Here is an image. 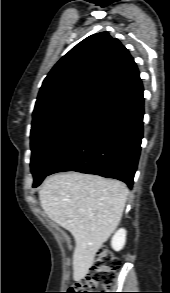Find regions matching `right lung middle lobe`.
Segmentation results:
<instances>
[{"mask_svg":"<svg viewBox=\"0 0 170 293\" xmlns=\"http://www.w3.org/2000/svg\"><path fill=\"white\" fill-rule=\"evenodd\" d=\"M105 106L82 103L65 108L31 129L33 187L49 174L53 165L85 134Z\"/></svg>","mask_w":170,"mask_h":293,"instance_id":"right-lung-middle-lobe-1","label":"right lung middle lobe"}]
</instances>
